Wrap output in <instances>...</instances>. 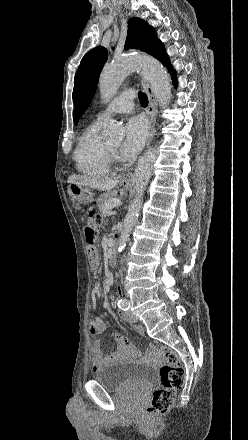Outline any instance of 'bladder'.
I'll return each mask as SVG.
<instances>
[{
    "label": "bladder",
    "instance_id": "bladder-1",
    "mask_svg": "<svg viewBox=\"0 0 248 440\" xmlns=\"http://www.w3.org/2000/svg\"><path fill=\"white\" fill-rule=\"evenodd\" d=\"M154 376L155 373L151 367L131 361L105 364L93 374L94 380L109 390L139 392H144L151 387Z\"/></svg>",
    "mask_w": 248,
    "mask_h": 440
}]
</instances>
